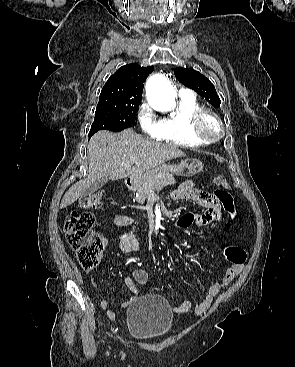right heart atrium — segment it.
<instances>
[{
  "mask_svg": "<svg viewBox=\"0 0 295 367\" xmlns=\"http://www.w3.org/2000/svg\"><path fill=\"white\" fill-rule=\"evenodd\" d=\"M138 121L141 129L150 137L158 138L161 133L160 120L154 117L149 104L143 103L138 110Z\"/></svg>",
  "mask_w": 295,
  "mask_h": 367,
  "instance_id": "1",
  "label": "right heart atrium"
}]
</instances>
